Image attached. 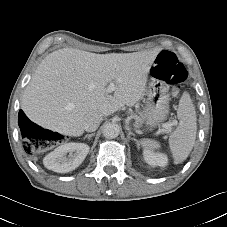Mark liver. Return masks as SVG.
Returning a JSON list of instances; mask_svg holds the SVG:
<instances>
[{
    "mask_svg": "<svg viewBox=\"0 0 227 227\" xmlns=\"http://www.w3.org/2000/svg\"><path fill=\"white\" fill-rule=\"evenodd\" d=\"M156 51L95 54L64 48L46 56L27 85L21 108L39 126L81 136L85 118L134 106L144 94ZM115 84L113 95L107 92Z\"/></svg>",
    "mask_w": 227,
    "mask_h": 227,
    "instance_id": "liver-1",
    "label": "liver"
}]
</instances>
